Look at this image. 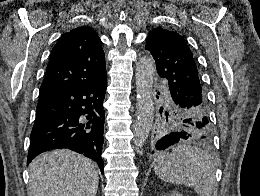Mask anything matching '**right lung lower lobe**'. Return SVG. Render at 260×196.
Segmentation results:
<instances>
[{"label":"right lung lower lobe","mask_w":260,"mask_h":196,"mask_svg":"<svg viewBox=\"0 0 260 196\" xmlns=\"http://www.w3.org/2000/svg\"><path fill=\"white\" fill-rule=\"evenodd\" d=\"M107 76L69 88L37 104L27 164L42 152L70 149L95 160L103 171V101Z\"/></svg>","instance_id":"1"}]
</instances>
